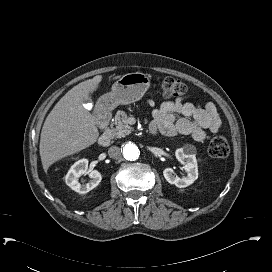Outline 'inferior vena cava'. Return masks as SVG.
Returning a JSON list of instances; mask_svg holds the SVG:
<instances>
[{
  "instance_id": "602c4592",
  "label": "inferior vena cava",
  "mask_w": 272,
  "mask_h": 272,
  "mask_svg": "<svg viewBox=\"0 0 272 272\" xmlns=\"http://www.w3.org/2000/svg\"><path fill=\"white\" fill-rule=\"evenodd\" d=\"M108 154L111 158L119 159L121 157V149L117 146H111L108 150Z\"/></svg>"
}]
</instances>
